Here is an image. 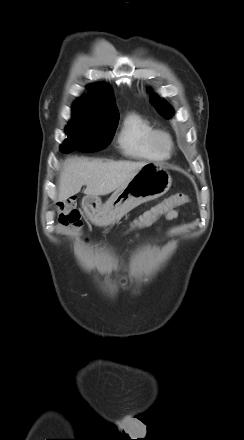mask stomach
<instances>
[{
    "label": "stomach",
    "instance_id": "obj_1",
    "mask_svg": "<svg viewBox=\"0 0 244 440\" xmlns=\"http://www.w3.org/2000/svg\"><path fill=\"white\" fill-rule=\"evenodd\" d=\"M171 184L172 178L162 164L146 163L106 203L103 204L98 196H86L82 207L91 223L106 227L135 207L163 196Z\"/></svg>",
    "mask_w": 244,
    "mask_h": 440
}]
</instances>
